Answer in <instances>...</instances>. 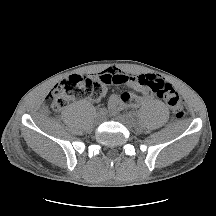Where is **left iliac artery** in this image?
Returning <instances> with one entry per match:
<instances>
[{
    "label": "left iliac artery",
    "instance_id": "obj_1",
    "mask_svg": "<svg viewBox=\"0 0 216 216\" xmlns=\"http://www.w3.org/2000/svg\"><path fill=\"white\" fill-rule=\"evenodd\" d=\"M129 115H130L131 117H134L136 114H135L134 112H130Z\"/></svg>",
    "mask_w": 216,
    "mask_h": 216
}]
</instances>
